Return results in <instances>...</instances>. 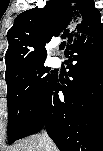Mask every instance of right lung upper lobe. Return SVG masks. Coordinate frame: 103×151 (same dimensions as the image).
Returning a JSON list of instances; mask_svg holds the SVG:
<instances>
[{"label": "right lung upper lobe", "mask_w": 103, "mask_h": 151, "mask_svg": "<svg viewBox=\"0 0 103 151\" xmlns=\"http://www.w3.org/2000/svg\"><path fill=\"white\" fill-rule=\"evenodd\" d=\"M95 12L92 0H50L42 9L19 14L7 33L6 83L26 68L45 62L46 44L52 38L61 36L71 44L99 25Z\"/></svg>", "instance_id": "right-lung-upper-lobe-1"}]
</instances>
